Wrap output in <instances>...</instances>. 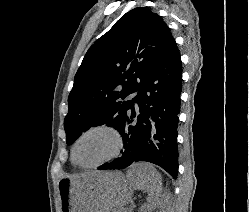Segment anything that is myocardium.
Masks as SVG:
<instances>
[{
    "label": "myocardium",
    "instance_id": "obj_1",
    "mask_svg": "<svg viewBox=\"0 0 249 212\" xmlns=\"http://www.w3.org/2000/svg\"><path fill=\"white\" fill-rule=\"evenodd\" d=\"M101 131L108 132L114 136L116 140V149L113 152V154H111L109 157H107L106 159L96 164L84 165V164L79 163L76 157V152H77V148L81 140L85 138L87 135H90L95 132H101ZM125 147H126V138L123 132L119 128H117L115 125L110 124V123L96 124L94 126L89 127L85 131H83L74 141L73 146H72V152H71L72 161L76 166H78L81 169H97L120 158L125 150Z\"/></svg>",
    "mask_w": 249,
    "mask_h": 212
}]
</instances>
